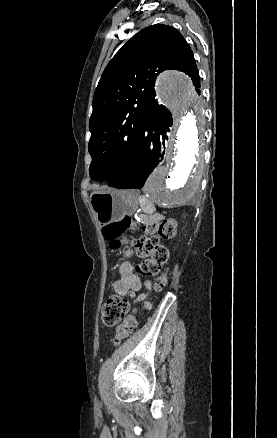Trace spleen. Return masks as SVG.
<instances>
[{
  "label": "spleen",
  "instance_id": "obj_1",
  "mask_svg": "<svg viewBox=\"0 0 277 438\" xmlns=\"http://www.w3.org/2000/svg\"><path fill=\"white\" fill-rule=\"evenodd\" d=\"M139 202L141 210H143L144 214H153V212H155L154 204L149 202L145 196H140Z\"/></svg>",
  "mask_w": 277,
  "mask_h": 438
}]
</instances>
